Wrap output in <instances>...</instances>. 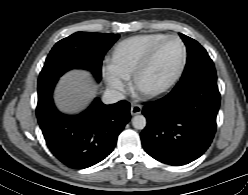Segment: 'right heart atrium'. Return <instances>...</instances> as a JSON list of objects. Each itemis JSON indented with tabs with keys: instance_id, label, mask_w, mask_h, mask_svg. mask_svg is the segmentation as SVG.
Returning a JSON list of instances; mask_svg holds the SVG:
<instances>
[{
	"instance_id": "obj_1",
	"label": "right heart atrium",
	"mask_w": 248,
	"mask_h": 195,
	"mask_svg": "<svg viewBox=\"0 0 248 195\" xmlns=\"http://www.w3.org/2000/svg\"><path fill=\"white\" fill-rule=\"evenodd\" d=\"M104 78L108 87L118 91H123L127 85V78L124 75L115 72L112 66H109L104 72Z\"/></svg>"
}]
</instances>
